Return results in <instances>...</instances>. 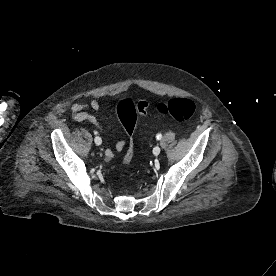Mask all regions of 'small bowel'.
Returning a JSON list of instances; mask_svg holds the SVG:
<instances>
[{"label": "small bowel", "instance_id": "c3829d8e", "mask_svg": "<svg viewBox=\"0 0 276 276\" xmlns=\"http://www.w3.org/2000/svg\"><path fill=\"white\" fill-rule=\"evenodd\" d=\"M102 107V103L99 99H92L88 103H75L71 106L72 111V120L74 122H89L96 129L102 131V125L98 121V119L87 112L88 109L99 110ZM125 141H120L116 144L115 150L121 151L125 146ZM106 158L110 159L114 156V152L110 148H106L105 150Z\"/></svg>", "mask_w": 276, "mask_h": 276}]
</instances>
